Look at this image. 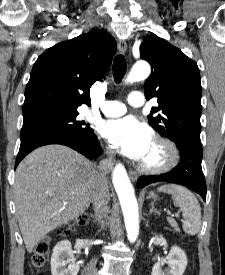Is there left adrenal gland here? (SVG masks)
Listing matches in <instances>:
<instances>
[{
  "instance_id": "a2214340",
  "label": "left adrenal gland",
  "mask_w": 225,
  "mask_h": 275,
  "mask_svg": "<svg viewBox=\"0 0 225 275\" xmlns=\"http://www.w3.org/2000/svg\"><path fill=\"white\" fill-rule=\"evenodd\" d=\"M150 213L159 214V212L154 208V203L153 202L151 203Z\"/></svg>"
}]
</instances>
